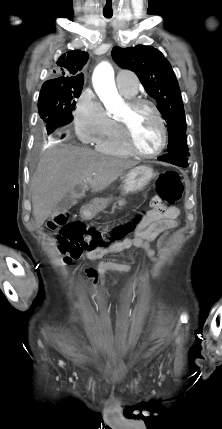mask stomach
Returning a JSON list of instances; mask_svg holds the SVG:
<instances>
[{"instance_id": "obj_1", "label": "stomach", "mask_w": 222, "mask_h": 429, "mask_svg": "<svg viewBox=\"0 0 222 429\" xmlns=\"http://www.w3.org/2000/svg\"><path fill=\"white\" fill-rule=\"evenodd\" d=\"M154 171L149 166H137L131 169L125 176L122 190L124 194L137 193L142 191L154 177ZM108 205V199H94L88 208L83 212L87 218L94 217L103 211Z\"/></svg>"}]
</instances>
